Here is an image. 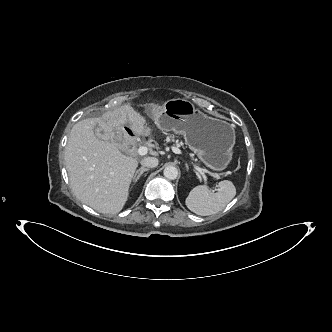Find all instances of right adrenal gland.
Returning <instances> with one entry per match:
<instances>
[{"label":"right adrenal gland","instance_id":"obj_1","mask_svg":"<svg viewBox=\"0 0 332 332\" xmlns=\"http://www.w3.org/2000/svg\"><path fill=\"white\" fill-rule=\"evenodd\" d=\"M146 171H149V168H144V167L139 168L134 174L133 182L136 183L137 180L140 178V176Z\"/></svg>","mask_w":332,"mask_h":332}]
</instances>
